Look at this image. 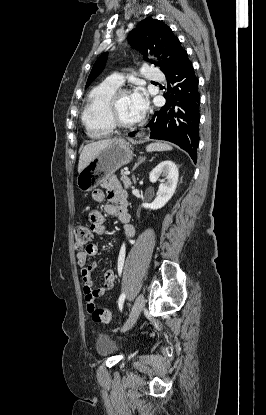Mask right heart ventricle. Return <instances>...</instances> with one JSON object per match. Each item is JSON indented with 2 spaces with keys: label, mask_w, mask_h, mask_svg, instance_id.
<instances>
[{
  "label": "right heart ventricle",
  "mask_w": 266,
  "mask_h": 415,
  "mask_svg": "<svg viewBox=\"0 0 266 415\" xmlns=\"http://www.w3.org/2000/svg\"><path fill=\"white\" fill-rule=\"evenodd\" d=\"M118 87L106 82L96 86L89 93L82 113V122L92 138H104L114 131L109 114L108 103Z\"/></svg>",
  "instance_id": "right-heart-ventricle-1"
}]
</instances>
